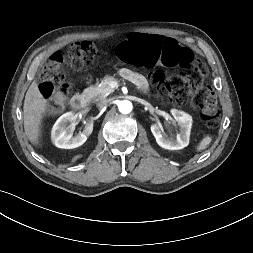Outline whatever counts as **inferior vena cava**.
Segmentation results:
<instances>
[{"mask_svg": "<svg viewBox=\"0 0 253 253\" xmlns=\"http://www.w3.org/2000/svg\"><path fill=\"white\" fill-rule=\"evenodd\" d=\"M108 103H109V100H107V99L101 100V101H99V102L97 103V107L103 108V107L106 106Z\"/></svg>", "mask_w": 253, "mask_h": 253, "instance_id": "inferior-vena-cava-1", "label": "inferior vena cava"}]
</instances>
